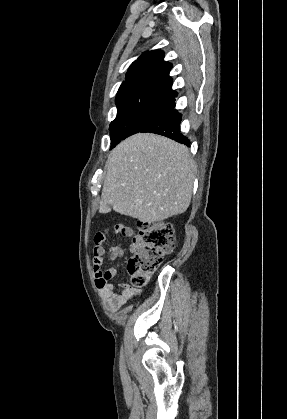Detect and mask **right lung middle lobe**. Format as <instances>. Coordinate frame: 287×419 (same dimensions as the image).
Wrapping results in <instances>:
<instances>
[{
    "instance_id": "dd1d6c3e",
    "label": "right lung middle lobe",
    "mask_w": 287,
    "mask_h": 419,
    "mask_svg": "<svg viewBox=\"0 0 287 419\" xmlns=\"http://www.w3.org/2000/svg\"><path fill=\"white\" fill-rule=\"evenodd\" d=\"M170 109L171 107L168 106H138L119 111L109 128L111 148L128 136L140 132L150 122Z\"/></svg>"
}]
</instances>
